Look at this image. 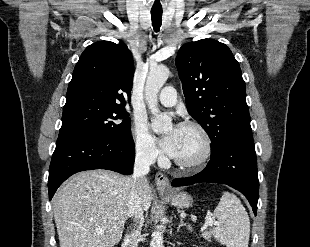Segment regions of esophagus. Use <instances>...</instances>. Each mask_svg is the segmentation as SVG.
<instances>
[{"label": "esophagus", "instance_id": "34e87169", "mask_svg": "<svg viewBox=\"0 0 310 247\" xmlns=\"http://www.w3.org/2000/svg\"><path fill=\"white\" fill-rule=\"evenodd\" d=\"M155 183L158 192H167L168 186H169V180L168 178L161 172H158L155 176Z\"/></svg>", "mask_w": 310, "mask_h": 247}]
</instances>
